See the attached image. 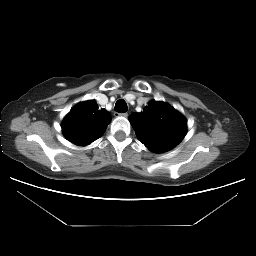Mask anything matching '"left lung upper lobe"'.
Segmentation results:
<instances>
[{
    "label": "left lung upper lobe",
    "mask_w": 256,
    "mask_h": 256,
    "mask_svg": "<svg viewBox=\"0 0 256 256\" xmlns=\"http://www.w3.org/2000/svg\"><path fill=\"white\" fill-rule=\"evenodd\" d=\"M129 121L138 140L155 153L174 148L186 135V119L170 105L155 100L143 112L132 113Z\"/></svg>",
    "instance_id": "5c2ea615"
}]
</instances>
